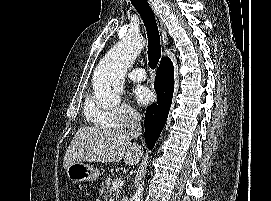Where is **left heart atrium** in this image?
<instances>
[{"mask_svg": "<svg viewBox=\"0 0 271 201\" xmlns=\"http://www.w3.org/2000/svg\"><path fill=\"white\" fill-rule=\"evenodd\" d=\"M133 94L136 102L143 106L150 104L154 99L153 92L148 87L142 85L137 86Z\"/></svg>", "mask_w": 271, "mask_h": 201, "instance_id": "obj_1", "label": "left heart atrium"}]
</instances>
